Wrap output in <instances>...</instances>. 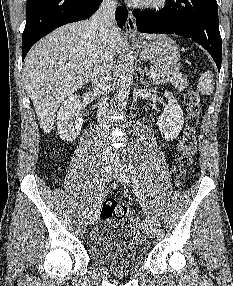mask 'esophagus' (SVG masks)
Returning a JSON list of instances; mask_svg holds the SVG:
<instances>
[{
  "instance_id": "obj_1",
  "label": "esophagus",
  "mask_w": 233,
  "mask_h": 286,
  "mask_svg": "<svg viewBox=\"0 0 233 286\" xmlns=\"http://www.w3.org/2000/svg\"><path fill=\"white\" fill-rule=\"evenodd\" d=\"M125 31L126 34L130 37H136L137 35L135 20L130 10L128 12L127 20L125 23Z\"/></svg>"
}]
</instances>
